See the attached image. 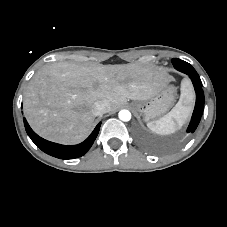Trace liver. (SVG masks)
Listing matches in <instances>:
<instances>
[{
  "mask_svg": "<svg viewBox=\"0 0 227 227\" xmlns=\"http://www.w3.org/2000/svg\"><path fill=\"white\" fill-rule=\"evenodd\" d=\"M171 80L154 66L47 64L27 88L24 113L31 128L43 138L77 144L93 129L95 102L107 100L108 112L115 111L129 99L154 97Z\"/></svg>",
  "mask_w": 227,
  "mask_h": 227,
  "instance_id": "6515ba94",
  "label": "liver"
}]
</instances>
